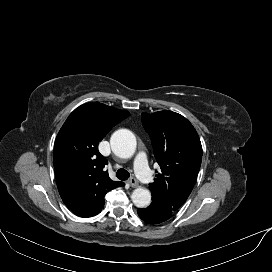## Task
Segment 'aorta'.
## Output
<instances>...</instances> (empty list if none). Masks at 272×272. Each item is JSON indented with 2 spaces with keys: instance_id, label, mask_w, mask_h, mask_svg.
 Returning a JSON list of instances; mask_svg holds the SVG:
<instances>
[{
  "instance_id": "762f6f07",
  "label": "aorta",
  "mask_w": 272,
  "mask_h": 272,
  "mask_svg": "<svg viewBox=\"0 0 272 272\" xmlns=\"http://www.w3.org/2000/svg\"><path fill=\"white\" fill-rule=\"evenodd\" d=\"M110 145L116 156L130 158L136 150V139L130 130L119 129L112 134ZM131 199L135 206L145 208L151 202V193L148 189L137 188L132 192Z\"/></svg>"
}]
</instances>
